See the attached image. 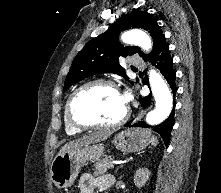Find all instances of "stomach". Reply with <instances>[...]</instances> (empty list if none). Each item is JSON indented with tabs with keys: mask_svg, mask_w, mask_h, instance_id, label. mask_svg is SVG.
Instances as JSON below:
<instances>
[{
	"mask_svg": "<svg viewBox=\"0 0 221 193\" xmlns=\"http://www.w3.org/2000/svg\"><path fill=\"white\" fill-rule=\"evenodd\" d=\"M151 142V132L144 128H129L116 134L112 143L124 153L138 152ZM104 155L102 144H89L58 154L50 167L51 180L58 188L71 186L80 169L89 161H97Z\"/></svg>",
	"mask_w": 221,
	"mask_h": 193,
	"instance_id": "1",
	"label": "stomach"
}]
</instances>
